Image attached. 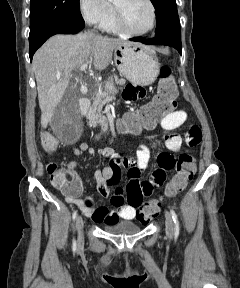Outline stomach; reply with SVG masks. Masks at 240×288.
<instances>
[{
    "label": "stomach",
    "instance_id": "stomach-1",
    "mask_svg": "<svg viewBox=\"0 0 240 288\" xmlns=\"http://www.w3.org/2000/svg\"><path fill=\"white\" fill-rule=\"evenodd\" d=\"M113 63L131 83L147 86L153 83L159 74V62L156 53L141 44L126 43L114 49ZM107 89L114 91L111 84Z\"/></svg>",
    "mask_w": 240,
    "mask_h": 288
}]
</instances>
